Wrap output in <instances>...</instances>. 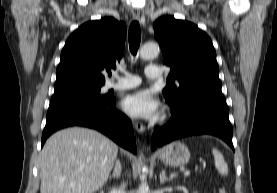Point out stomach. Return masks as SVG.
Here are the masks:
<instances>
[{
    "label": "stomach",
    "mask_w": 277,
    "mask_h": 193,
    "mask_svg": "<svg viewBox=\"0 0 277 193\" xmlns=\"http://www.w3.org/2000/svg\"><path fill=\"white\" fill-rule=\"evenodd\" d=\"M161 161L169 166H181L190 159L188 147L182 142L176 141L166 145L160 151Z\"/></svg>",
    "instance_id": "0dacf381"
}]
</instances>
